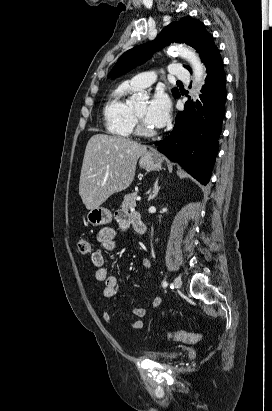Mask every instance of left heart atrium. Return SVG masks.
<instances>
[{"label":"left heart atrium","instance_id":"left-heart-atrium-1","mask_svg":"<svg viewBox=\"0 0 272 411\" xmlns=\"http://www.w3.org/2000/svg\"><path fill=\"white\" fill-rule=\"evenodd\" d=\"M170 115V100L168 96L158 91L150 100L146 113V122L154 128H160L164 126L169 120Z\"/></svg>","mask_w":272,"mask_h":411}]
</instances>
